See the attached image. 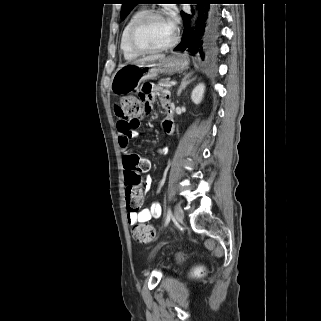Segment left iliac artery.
Masks as SVG:
<instances>
[{"label": "left iliac artery", "instance_id": "left-iliac-artery-1", "mask_svg": "<svg viewBox=\"0 0 321 321\" xmlns=\"http://www.w3.org/2000/svg\"><path fill=\"white\" fill-rule=\"evenodd\" d=\"M171 217H172V212H171L170 209H168V211H167V216H166V220H165V226L168 225V223L170 222Z\"/></svg>", "mask_w": 321, "mask_h": 321}]
</instances>
